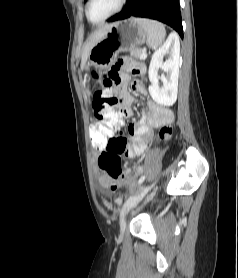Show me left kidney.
Wrapping results in <instances>:
<instances>
[{
    "instance_id": "obj_1",
    "label": "left kidney",
    "mask_w": 238,
    "mask_h": 278,
    "mask_svg": "<svg viewBox=\"0 0 238 278\" xmlns=\"http://www.w3.org/2000/svg\"><path fill=\"white\" fill-rule=\"evenodd\" d=\"M166 57V61H163ZM180 43L175 34L169 35L167 41L152 56L149 66V93L152 99L160 105L172 106L177 99L179 75ZM162 69L166 76L159 77L158 70ZM159 79L163 87H159Z\"/></svg>"
}]
</instances>
